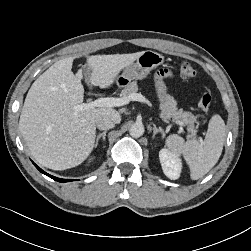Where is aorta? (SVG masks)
I'll return each mask as SVG.
<instances>
[{
  "label": "aorta",
  "instance_id": "1",
  "mask_svg": "<svg viewBox=\"0 0 251 251\" xmlns=\"http://www.w3.org/2000/svg\"><path fill=\"white\" fill-rule=\"evenodd\" d=\"M132 137L138 138L144 134V126L142 123H134L129 130Z\"/></svg>",
  "mask_w": 251,
  "mask_h": 251
}]
</instances>
